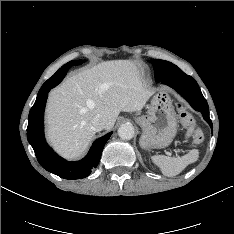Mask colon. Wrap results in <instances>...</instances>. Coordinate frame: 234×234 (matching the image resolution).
<instances>
[{"mask_svg":"<svg viewBox=\"0 0 234 234\" xmlns=\"http://www.w3.org/2000/svg\"><path fill=\"white\" fill-rule=\"evenodd\" d=\"M177 110L184 128L191 134L195 144H201L204 141V134L198 127L195 119L183 104L177 105Z\"/></svg>","mask_w":234,"mask_h":234,"instance_id":"colon-1","label":"colon"}]
</instances>
